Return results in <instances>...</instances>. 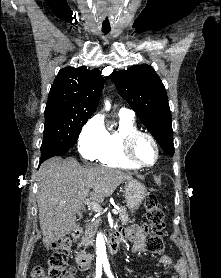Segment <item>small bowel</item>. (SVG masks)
Masks as SVG:
<instances>
[{
    "mask_svg": "<svg viewBox=\"0 0 221 278\" xmlns=\"http://www.w3.org/2000/svg\"><path fill=\"white\" fill-rule=\"evenodd\" d=\"M125 235L133 241L132 251L135 254H142L145 252V237L147 229L144 226L132 225L125 229ZM172 263L171 258L163 254L159 258V264L162 267H168ZM79 269L76 267H71L66 275V278H76V274ZM146 278H154L153 276H147ZM171 278H186V264L181 259L176 264V272Z\"/></svg>",
    "mask_w": 221,
    "mask_h": 278,
    "instance_id": "c3829d8e",
    "label": "small bowel"
}]
</instances>
